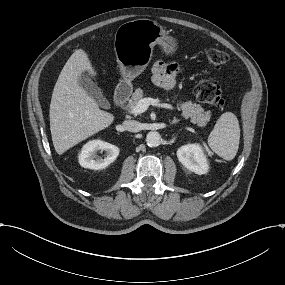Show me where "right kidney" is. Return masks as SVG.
Listing matches in <instances>:
<instances>
[{
  "label": "right kidney",
  "instance_id": "1",
  "mask_svg": "<svg viewBox=\"0 0 285 285\" xmlns=\"http://www.w3.org/2000/svg\"><path fill=\"white\" fill-rule=\"evenodd\" d=\"M98 151H105L106 157L104 159L96 157ZM118 154V147L103 141H92L83 147L79 155V163L84 168L94 170L103 169L111 164L117 158Z\"/></svg>",
  "mask_w": 285,
  "mask_h": 285
}]
</instances>
